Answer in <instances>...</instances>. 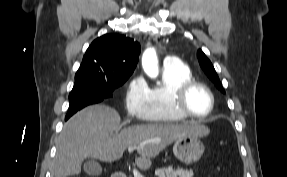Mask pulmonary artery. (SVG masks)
Segmentation results:
<instances>
[{"mask_svg": "<svg viewBox=\"0 0 287 177\" xmlns=\"http://www.w3.org/2000/svg\"><path fill=\"white\" fill-rule=\"evenodd\" d=\"M179 63V60L176 57H167L164 60V66H172Z\"/></svg>", "mask_w": 287, "mask_h": 177, "instance_id": "pulmonary-artery-1", "label": "pulmonary artery"}]
</instances>
